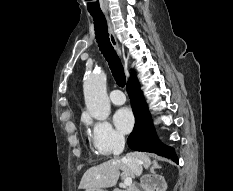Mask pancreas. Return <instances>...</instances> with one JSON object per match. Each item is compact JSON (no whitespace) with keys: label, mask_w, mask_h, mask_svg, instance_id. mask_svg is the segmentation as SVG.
I'll return each instance as SVG.
<instances>
[{"label":"pancreas","mask_w":233,"mask_h":191,"mask_svg":"<svg viewBox=\"0 0 233 191\" xmlns=\"http://www.w3.org/2000/svg\"><path fill=\"white\" fill-rule=\"evenodd\" d=\"M113 191H137L134 187H130L127 189H114Z\"/></svg>","instance_id":"cf45deb5"}]
</instances>
